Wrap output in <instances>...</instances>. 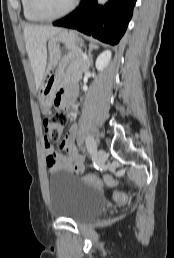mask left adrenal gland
I'll return each instance as SVG.
<instances>
[{
  "mask_svg": "<svg viewBox=\"0 0 174 258\" xmlns=\"http://www.w3.org/2000/svg\"><path fill=\"white\" fill-rule=\"evenodd\" d=\"M96 48H97V46H95V45H90V46H89V52H88L89 66L92 65V55H91V51H92L93 49H96Z\"/></svg>",
  "mask_w": 174,
  "mask_h": 258,
  "instance_id": "left-adrenal-gland-1",
  "label": "left adrenal gland"
}]
</instances>
